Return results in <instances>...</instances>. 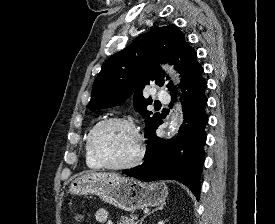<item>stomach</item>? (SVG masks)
Returning <instances> with one entry per match:
<instances>
[{
	"mask_svg": "<svg viewBox=\"0 0 275 224\" xmlns=\"http://www.w3.org/2000/svg\"><path fill=\"white\" fill-rule=\"evenodd\" d=\"M69 191L75 195H96L124 211L162 204L168 195L163 182L150 184L111 173H89L73 179Z\"/></svg>",
	"mask_w": 275,
	"mask_h": 224,
	"instance_id": "1",
	"label": "stomach"
}]
</instances>
